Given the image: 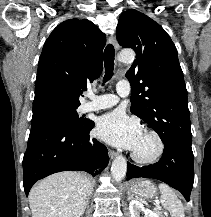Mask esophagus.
Wrapping results in <instances>:
<instances>
[{"label": "esophagus", "instance_id": "esophagus-1", "mask_svg": "<svg viewBox=\"0 0 211 217\" xmlns=\"http://www.w3.org/2000/svg\"><path fill=\"white\" fill-rule=\"evenodd\" d=\"M109 41L115 47V49L118 50V43H117L116 36L115 35H110L109 36ZM108 153H109L110 158H112V159L118 155V153L113 151V150H109Z\"/></svg>", "mask_w": 211, "mask_h": 217}]
</instances>
